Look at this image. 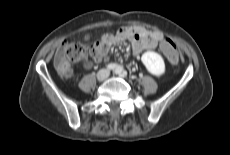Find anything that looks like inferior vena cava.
<instances>
[{
	"instance_id": "602c4592",
	"label": "inferior vena cava",
	"mask_w": 230,
	"mask_h": 155,
	"mask_svg": "<svg viewBox=\"0 0 230 155\" xmlns=\"http://www.w3.org/2000/svg\"><path fill=\"white\" fill-rule=\"evenodd\" d=\"M106 76H109V72H107Z\"/></svg>"
}]
</instances>
